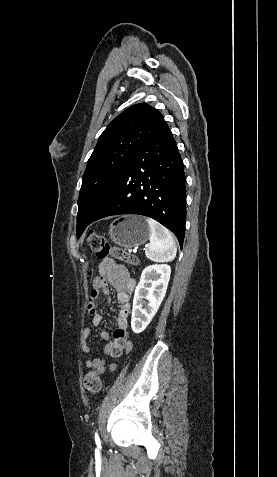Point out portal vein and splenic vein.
<instances>
[{
  "instance_id": "obj_1",
  "label": "portal vein and splenic vein",
  "mask_w": 277,
  "mask_h": 477,
  "mask_svg": "<svg viewBox=\"0 0 277 477\" xmlns=\"http://www.w3.org/2000/svg\"><path fill=\"white\" fill-rule=\"evenodd\" d=\"M133 252L136 253V252H137V248L133 249Z\"/></svg>"
}]
</instances>
